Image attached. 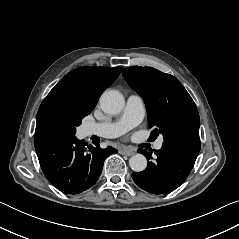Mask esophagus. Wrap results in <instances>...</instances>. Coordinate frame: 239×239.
I'll list each match as a JSON object with an SVG mask.
<instances>
[{
	"mask_svg": "<svg viewBox=\"0 0 239 239\" xmlns=\"http://www.w3.org/2000/svg\"><path fill=\"white\" fill-rule=\"evenodd\" d=\"M120 153L123 155H126V156H132V155H134L135 152L132 150H123Z\"/></svg>",
	"mask_w": 239,
	"mask_h": 239,
	"instance_id": "34e87169",
	"label": "esophagus"
}]
</instances>
